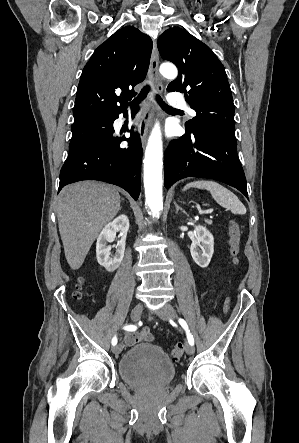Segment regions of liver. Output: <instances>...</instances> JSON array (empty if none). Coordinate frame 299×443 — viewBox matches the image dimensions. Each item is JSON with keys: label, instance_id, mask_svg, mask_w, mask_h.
I'll list each match as a JSON object with an SVG mask.
<instances>
[{"label": "liver", "instance_id": "obj_1", "mask_svg": "<svg viewBox=\"0 0 299 443\" xmlns=\"http://www.w3.org/2000/svg\"><path fill=\"white\" fill-rule=\"evenodd\" d=\"M120 203L117 189L100 182H77L61 190L56 212L71 269L81 267L102 228L117 215Z\"/></svg>", "mask_w": 299, "mask_h": 443}]
</instances>
